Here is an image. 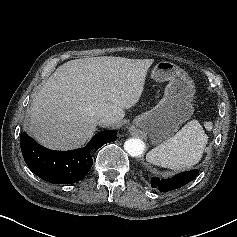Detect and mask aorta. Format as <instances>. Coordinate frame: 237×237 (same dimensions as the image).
Instances as JSON below:
<instances>
[{
  "label": "aorta",
  "instance_id": "762f6f07",
  "mask_svg": "<svg viewBox=\"0 0 237 237\" xmlns=\"http://www.w3.org/2000/svg\"><path fill=\"white\" fill-rule=\"evenodd\" d=\"M124 149L132 157H139L145 150V144L141 139L131 138L125 141Z\"/></svg>",
  "mask_w": 237,
  "mask_h": 237
}]
</instances>
